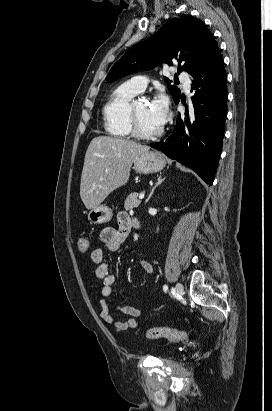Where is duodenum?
Wrapping results in <instances>:
<instances>
[{
    "instance_id": "410a0bca",
    "label": "duodenum",
    "mask_w": 272,
    "mask_h": 411,
    "mask_svg": "<svg viewBox=\"0 0 272 411\" xmlns=\"http://www.w3.org/2000/svg\"><path fill=\"white\" fill-rule=\"evenodd\" d=\"M133 222H134V225H135L136 227H139V224H138L137 221L133 220Z\"/></svg>"
}]
</instances>
